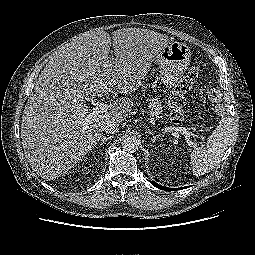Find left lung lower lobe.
Here are the masks:
<instances>
[{
  "instance_id": "left-lung-lower-lobe-1",
  "label": "left lung lower lobe",
  "mask_w": 255,
  "mask_h": 255,
  "mask_svg": "<svg viewBox=\"0 0 255 255\" xmlns=\"http://www.w3.org/2000/svg\"><path fill=\"white\" fill-rule=\"evenodd\" d=\"M152 185H154L155 187L161 189V190H165V191H173V190H176V188H167V187H164V186H161L155 182H151Z\"/></svg>"
}]
</instances>
